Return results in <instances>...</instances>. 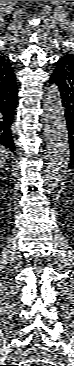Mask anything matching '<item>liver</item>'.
Masks as SVG:
<instances>
[{
    "label": "liver",
    "mask_w": 74,
    "mask_h": 366,
    "mask_svg": "<svg viewBox=\"0 0 74 366\" xmlns=\"http://www.w3.org/2000/svg\"><path fill=\"white\" fill-rule=\"evenodd\" d=\"M9 153H10L9 150H7L6 148H4L3 146L0 147V159H1V162H4L8 158Z\"/></svg>",
    "instance_id": "obj_1"
}]
</instances>
